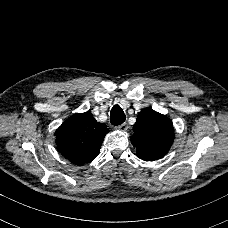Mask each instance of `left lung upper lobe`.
Returning a JSON list of instances; mask_svg holds the SVG:
<instances>
[{
	"instance_id": "left-lung-upper-lobe-1",
	"label": "left lung upper lobe",
	"mask_w": 228,
	"mask_h": 228,
	"mask_svg": "<svg viewBox=\"0 0 228 228\" xmlns=\"http://www.w3.org/2000/svg\"><path fill=\"white\" fill-rule=\"evenodd\" d=\"M133 131L131 143L137 156L145 161L162 158L175 138L172 121L149 107L138 114Z\"/></svg>"
}]
</instances>
